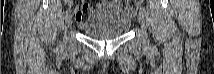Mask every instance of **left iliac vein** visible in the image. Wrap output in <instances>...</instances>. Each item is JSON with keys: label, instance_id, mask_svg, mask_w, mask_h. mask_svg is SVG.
<instances>
[{"label": "left iliac vein", "instance_id": "obj_1", "mask_svg": "<svg viewBox=\"0 0 214 74\" xmlns=\"http://www.w3.org/2000/svg\"><path fill=\"white\" fill-rule=\"evenodd\" d=\"M138 21L142 27V30L144 31L145 30V24H144V13L142 12H139L138 14Z\"/></svg>", "mask_w": 214, "mask_h": 74}]
</instances>
